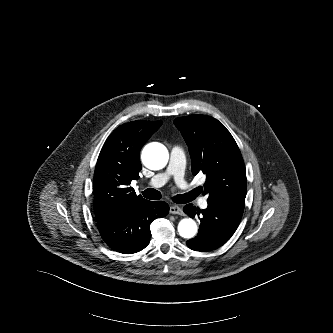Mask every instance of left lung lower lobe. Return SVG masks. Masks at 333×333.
Listing matches in <instances>:
<instances>
[{"label": "left lung lower lobe", "instance_id": "obj_1", "mask_svg": "<svg viewBox=\"0 0 333 333\" xmlns=\"http://www.w3.org/2000/svg\"><path fill=\"white\" fill-rule=\"evenodd\" d=\"M245 198H222L208 202V208L200 210L192 204L184 207V212L194 217L198 212L201 227L198 236L187 245L198 251H210L227 242L237 229L244 210Z\"/></svg>", "mask_w": 333, "mask_h": 333}]
</instances>
